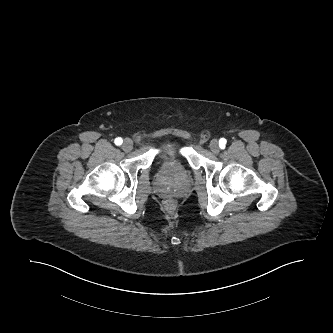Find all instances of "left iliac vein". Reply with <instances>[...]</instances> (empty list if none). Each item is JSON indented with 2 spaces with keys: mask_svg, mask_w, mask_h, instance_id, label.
Returning a JSON list of instances; mask_svg holds the SVG:
<instances>
[{
  "mask_svg": "<svg viewBox=\"0 0 333 333\" xmlns=\"http://www.w3.org/2000/svg\"><path fill=\"white\" fill-rule=\"evenodd\" d=\"M209 147L214 154H218L220 151L219 143L216 139L211 140Z\"/></svg>",
  "mask_w": 333,
  "mask_h": 333,
  "instance_id": "1",
  "label": "left iliac vein"
}]
</instances>
